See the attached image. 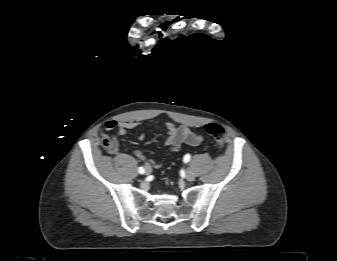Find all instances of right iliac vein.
<instances>
[{
  "label": "right iliac vein",
  "instance_id": "1",
  "mask_svg": "<svg viewBox=\"0 0 337 261\" xmlns=\"http://www.w3.org/2000/svg\"><path fill=\"white\" fill-rule=\"evenodd\" d=\"M151 170L149 168L146 169L145 174L148 175L150 174Z\"/></svg>",
  "mask_w": 337,
  "mask_h": 261
}]
</instances>
